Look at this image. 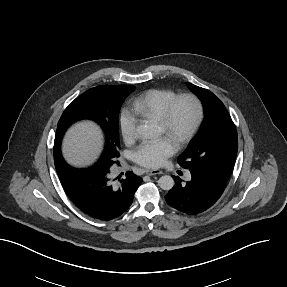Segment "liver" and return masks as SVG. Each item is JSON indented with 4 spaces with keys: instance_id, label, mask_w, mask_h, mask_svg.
<instances>
[{
    "instance_id": "obj_1",
    "label": "liver",
    "mask_w": 287,
    "mask_h": 287,
    "mask_svg": "<svg viewBox=\"0 0 287 287\" xmlns=\"http://www.w3.org/2000/svg\"><path fill=\"white\" fill-rule=\"evenodd\" d=\"M102 146L101 132L90 122L72 127L63 143V155L66 160L77 166L89 164L98 155Z\"/></svg>"
}]
</instances>
